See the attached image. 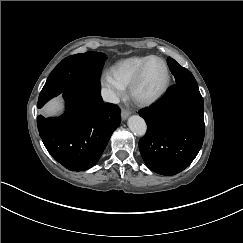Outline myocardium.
Masks as SVG:
<instances>
[{"label":"myocardium","mask_w":243,"mask_h":243,"mask_svg":"<svg viewBox=\"0 0 243 243\" xmlns=\"http://www.w3.org/2000/svg\"><path fill=\"white\" fill-rule=\"evenodd\" d=\"M154 61L161 62L164 65V67L166 68V72H167L166 83H165L164 87L162 88V90L160 92H158L155 96H153L151 98H147V99L139 98L137 96V90H138L139 86L141 85V83L143 82L149 66ZM171 84H172V72H171V69H170V66L168 65V63L162 58H153V59L147 61L141 67L138 75L135 77V79L131 83V85L129 87L130 96L138 106H141V107L152 106V105L156 104L157 102H159L167 94V92L169 91V89L171 87Z\"/></svg>","instance_id":"myocardium-1"}]
</instances>
